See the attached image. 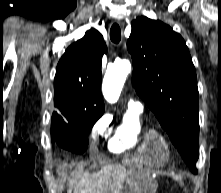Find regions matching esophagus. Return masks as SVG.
<instances>
[{
	"mask_svg": "<svg viewBox=\"0 0 221 193\" xmlns=\"http://www.w3.org/2000/svg\"><path fill=\"white\" fill-rule=\"evenodd\" d=\"M117 22H118V24L122 25V22L120 20H118Z\"/></svg>",
	"mask_w": 221,
	"mask_h": 193,
	"instance_id": "1",
	"label": "esophagus"
}]
</instances>
